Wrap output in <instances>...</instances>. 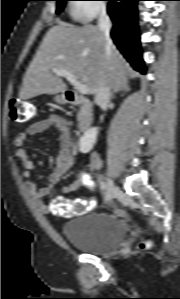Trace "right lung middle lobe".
<instances>
[{"label": "right lung middle lobe", "mask_w": 180, "mask_h": 299, "mask_svg": "<svg viewBox=\"0 0 180 299\" xmlns=\"http://www.w3.org/2000/svg\"><path fill=\"white\" fill-rule=\"evenodd\" d=\"M56 1H58L56 13L59 14L62 12L65 2L68 0H56Z\"/></svg>", "instance_id": "1"}]
</instances>
